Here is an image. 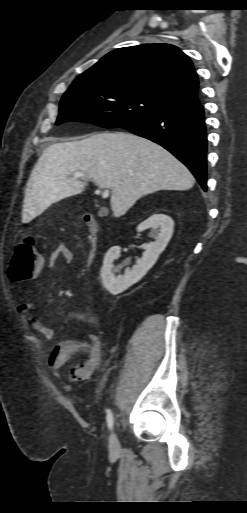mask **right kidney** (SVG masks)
Wrapping results in <instances>:
<instances>
[{"mask_svg":"<svg viewBox=\"0 0 247 513\" xmlns=\"http://www.w3.org/2000/svg\"><path fill=\"white\" fill-rule=\"evenodd\" d=\"M148 228H151V235L155 240L143 245L145 251L142 258L137 260L132 269H127L124 275L116 277L112 272L113 262L119 258L121 248L114 246L105 255L101 269V279L104 287L110 293L117 295L125 291L138 282L156 263L159 255L164 251L172 237L174 221L165 214H153L138 225L137 231L141 232Z\"/></svg>","mask_w":247,"mask_h":513,"instance_id":"obj_1","label":"right kidney"}]
</instances>
